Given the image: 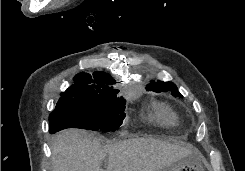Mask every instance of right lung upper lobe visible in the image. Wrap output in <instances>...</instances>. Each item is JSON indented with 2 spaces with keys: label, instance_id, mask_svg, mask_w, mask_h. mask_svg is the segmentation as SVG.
<instances>
[{
  "label": "right lung upper lobe",
  "instance_id": "1",
  "mask_svg": "<svg viewBox=\"0 0 245 171\" xmlns=\"http://www.w3.org/2000/svg\"><path fill=\"white\" fill-rule=\"evenodd\" d=\"M75 84L62 92L60 101H91L107 98H114L119 92L105 84H114V80L103 72H95L93 77L87 73H80L75 76Z\"/></svg>",
  "mask_w": 245,
  "mask_h": 171
}]
</instances>
